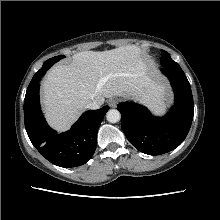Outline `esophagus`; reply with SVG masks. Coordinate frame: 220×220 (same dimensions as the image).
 <instances>
[{"instance_id":"34e87169","label":"esophagus","mask_w":220,"mask_h":220,"mask_svg":"<svg viewBox=\"0 0 220 220\" xmlns=\"http://www.w3.org/2000/svg\"><path fill=\"white\" fill-rule=\"evenodd\" d=\"M118 102H119V99L117 97H113V98L108 100V105L110 107H115Z\"/></svg>"}]
</instances>
